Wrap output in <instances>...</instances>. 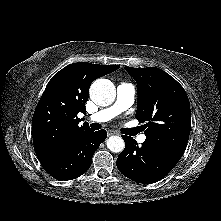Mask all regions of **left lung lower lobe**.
I'll return each mask as SVG.
<instances>
[{"instance_id": "0a47b994", "label": "left lung lower lobe", "mask_w": 221, "mask_h": 221, "mask_svg": "<svg viewBox=\"0 0 221 221\" xmlns=\"http://www.w3.org/2000/svg\"><path fill=\"white\" fill-rule=\"evenodd\" d=\"M125 149L119 154L117 168L127 178L143 184L157 182L180 160L164 148L144 141L139 147L135 139L123 135Z\"/></svg>"}]
</instances>
